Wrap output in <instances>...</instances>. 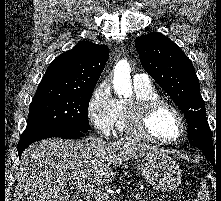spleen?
Wrapping results in <instances>:
<instances>
[{
    "label": "spleen",
    "mask_w": 221,
    "mask_h": 201,
    "mask_svg": "<svg viewBox=\"0 0 221 201\" xmlns=\"http://www.w3.org/2000/svg\"><path fill=\"white\" fill-rule=\"evenodd\" d=\"M210 196L207 191L206 185L204 183H201L200 191L197 194V197L194 201H209Z\"/></svg>",
    "instance_id": "1"
}]
</instances>
